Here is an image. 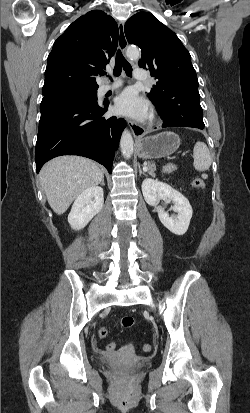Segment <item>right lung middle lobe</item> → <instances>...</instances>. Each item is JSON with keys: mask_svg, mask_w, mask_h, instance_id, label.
Masks as SVG:
<instances>
[{"mask_svg": "<svg viewBox=\"0 0 250 413\" xmlns=\"http://www.w3.org/2000/svg\"><path fill=\"white\" fill-rule=\"evenodd\" d=\"M69 97H83L87 99L97 100V89L72 88L52 92L45 96L48 99H63Z\"/></svg>", "mask_w": 250, "mask_h": 413, "instance_id": "dd1d6c3e", "label": "right lung middle lobe"}]
</instances>
